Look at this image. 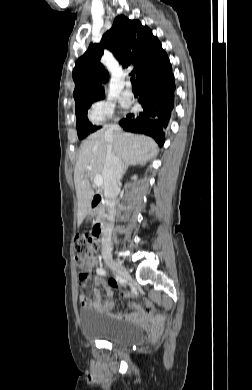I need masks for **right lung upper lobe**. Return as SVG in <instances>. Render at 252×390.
Listing matches in <instances>:
<instances>
[{"label":"right lung upper lobe","instance_id":"1","mask_svg":"<svg viewBox=\"0 0 252 390\" xmlns=\"http://www.w3.org/2000/svg\"><path fill=\"white\" fill-rule=\"evenodd\" d=\"M103 48L110 50L124 68L133 64L138 83L143 77L157 74L171 66L161 43L147 26L138 20H129L119 15L112 28L103 35L100 44L91 43L76 62L73 70L76 108L104 98L101 83L107 81L108 72L100 63Z\"/></svg>","mask_w":252,"mask_h":390}]
</instances>
